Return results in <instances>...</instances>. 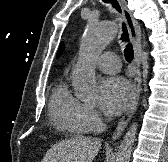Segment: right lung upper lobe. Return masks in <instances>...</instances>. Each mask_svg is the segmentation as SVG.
Returning a JSON list of instances; mask_svg holds the SVG:
<instances>
[{
  "label": "right lung upper lobe",
  "instance_id": "1",
  "mask_svg": "<svg viewBox=\"0 0 168 162\" xmlns=\"http://www.w3.org/2000/svg\"><path fill=\"white\" fill-rule=\"evenodd\" d=\"M63 43L60 44V47H59V50H58V53H57V57L60 56L61 52H62V49H63Z\"/></svg>",
  "mask_w": 168,
  "mask_h": 162
}]
</instances>
